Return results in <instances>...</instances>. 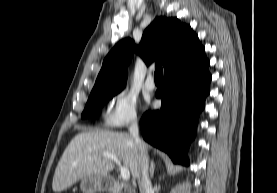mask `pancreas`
Listing matches in <instances>:
<instances>
[{
    "instance_id": "obj_1",
    "label": "pancreas",
    "mask_w": 277,
    "mask_h": 193,
    "mask_svg": "<svg viewBox=\"0 0 277 193\" xmlns=\"http://www.w3.org/2000/svg\"><path fill=\"white\" fill-rule=\"evenodd\" d=\"M116 190H118L119 193H135L134 188H131L123 183H117Z\"/></svg>"
}]
</instances>
